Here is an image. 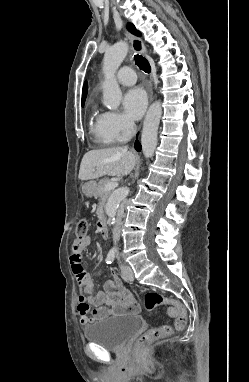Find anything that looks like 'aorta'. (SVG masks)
<instances>
[{
	"instance_id": "obj_1",
	"label": "aorta",
	"mask_w": 249,
	"mask_h": 382,
	"mask_svg": "<svg viewBox=\"0 0 249 382\" xmlns=\"http://www.w3.org/2000/svg\"><path fill=\"white\" fill-rule=\"evenodd\" d=\"M128 52V45L125 42H118L108 48L103 59L104 82L103 104L110 110H116L121 102L122 92L116 81L115 73ZM162 115L160 102L153 103L144 119L141 135L142 151L146 158L152 157L157 146L158 127ZM129 194V189L124 187L115 191L107 205L106 214L113 224L120 202Z\"/></svg>"
}]
</instances>
